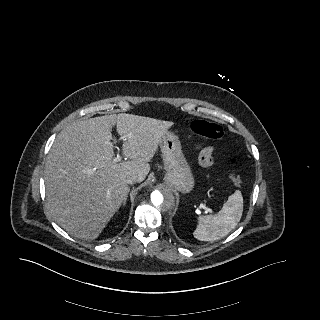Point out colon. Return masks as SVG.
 <instances>
[{"label": "colon", "instance_id": "5ec220e1", "mask_svg": "<svg viewBox=\"0 0 320 320\" xmlns=\"http://www.w3.org/2000/svg\"><path fill=\"white\" fill-rule=\"evenodd\" d=\"M191 128L196 134L209 139L219 140L223 137L222 127L212 121L197 119L191 123ZM236 162L237 160L233 159L231 166L234 167ZM229 179L234 185H240L242 183L241 177L234 171L230 174Z\"/></svg>", "mask_w": 320, "mask_h": 320}]
</instances>
